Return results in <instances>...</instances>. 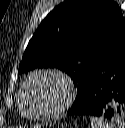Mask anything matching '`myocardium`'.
<instances>
[{
  "label": "myocardium",
  "instance_id": "f54148a6",
  "mask_svg": "<svg viewBox=\"0 0 125 128\" xmlns=\"http://www.w3.org/2000/svg\"><path fill=\"white\" fill-rule=\"evenodd\" d=\"M52 76L59 79L65 86V97L61 104L52 111L41 113V114H31L26 111L24 106V94L32 80L38 76ZM76 95V89L74 83L70 76L66 73L52 68H41L32 71L27 78L25 79L24 83L22 84L20 91H19V109L22 115L26 118L34 121H48L52 119L58 118L61 114H63L69 107L72 105L74 98Z\"/></svg>",
  "mask_w": 125,
  "mask_h": 128
}]
</instances>
